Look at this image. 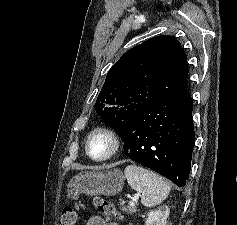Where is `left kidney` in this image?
<instances>
[{
  "instance_id": "5707ae66",
  "label": "left kidney",
  "mask_w": 237,
  "mask_h": 225,
  "mask_svg": "<svg viewBox=\"0 0 237 225\" xmlns=\"http://www.w3.org/2000/svg\"><path fill=\"white\" fill-rule=\"evenodd\" d=\"M170 208L168 206L160 207L158 210L151 211L147 215L145 225H166L169 217Z\"/></svg>"
}]
</instances>
